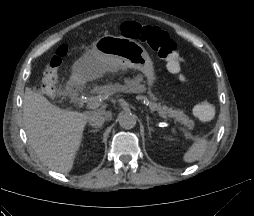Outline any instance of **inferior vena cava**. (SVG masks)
<instances>
[{
  "mask_svg": "<svg viewBox=\"0 0 254 216\" xmlns=\"http://www.w3.org/2000/svg\"><path fill=\"white\" fill-rule=\"evenodd\" d=\"M105 120L106 117L101 113L97 112L89 117L88 122L91 126L98 128L104 124Z\"/></svg>",
  "mask_w": 254,
  "mask_h": 216,
  "instance_id": "inferior-vena-cava-1",
  "label": "inferior vena cava"
}]
</instances>
